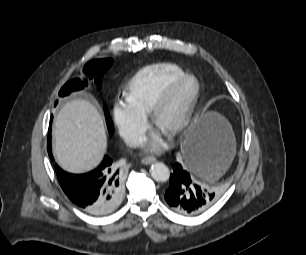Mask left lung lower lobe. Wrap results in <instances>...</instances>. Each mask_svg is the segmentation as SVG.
<instances>
[{"mask_svg":"<svg viewBox=\"0 0 306 255\" xmlns=\"http://www.w3.org/2000/svg\"><path fill=\"white\" fill-rule=\"evenodd\" d=\"M186 166L176 163L165 193L168 205L182 215H196L215 200V193L192 182L191 169L211 172L223 158V144L204 145L192 142L184 151Z\"/></svg>","mask_w":306,"mask_h":255,"instance_id":"0a47b994","label":"left lung lower lobe"}]
</instances>
